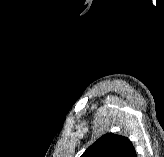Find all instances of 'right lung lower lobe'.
Listing matches in <instances>:
<instances>
[{
	"label": "right lung lower lobe",
	"instance_id": "98d812e1",
	"mask_svg": "<svg viewBox=\"0 0 164 157\" xmlns=\"http://www.w3.org/2000/svg\"><path fill=\"white\" fill-rule=\"evenodd\" d=\"M133 157H137L136 152L134 153V156Z\"/></svg>",
	"mask_w": 164,
	"mask_h": 157
}]
</instances>
